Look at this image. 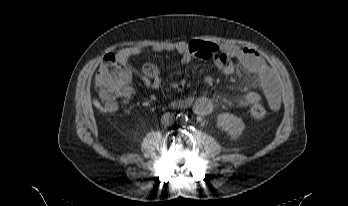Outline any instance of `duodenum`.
<instances>
[{
    "label": "duodenum",
    "instance_id": "duodenum-1",
    "mask_svg": "<svg viewBox=\"0 0 348 206\" xmlns=\"http://www.w3.org/2000/svg\"><path fill=\"white\" fill-rule=\"evenodd\" d=\"M190 105L199 113H207L209 111L208 102L203 99L195 98L190 102Z\"/></svg>",
    "mask_w": 348,
    "mask_h": 206
}]
</instances>
